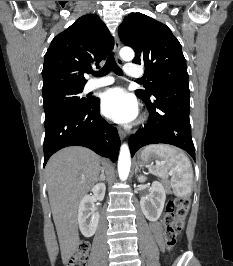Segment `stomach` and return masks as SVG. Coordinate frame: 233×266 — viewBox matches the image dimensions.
<instances>
[{
	"label": "stomach",
	"instance_id": "1",
	"mask_svg": "<svg viewBox=\"0 0 233 266\" xmlns=\"http://www.w3.org/2000/svg\"><path fill=\"white\" fill-rule=\"evenodd\" d=\"M137 162L140 165H147L151 167L155 163L157 164L159 162V157L154 153H148V154L140 153L137 156Z\"/></svg>",
	"mask_w": 233,
	"mask_h": 266
}]
</instances>
